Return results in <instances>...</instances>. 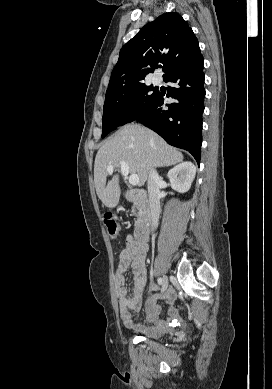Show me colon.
<instances>
[{
  "label": "colon",
  "instance_id": "1",
  "mask_svg": "<svg viewBox=\"0 0 272 389\" xmlns=\"http://www.w3.org/2000/svg\"><path fill=\"white\" fill-rule=\"evenodd\" d=\"M103 221L110 237L115 238L119 232V223L116 216L112 213H107L104 215Z\"/></svg>",
  "mask_w": 272,
  "mask_h": 389
}]
</instances>
